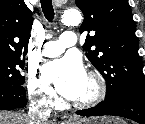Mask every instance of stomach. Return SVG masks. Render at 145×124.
<instances>
[{
    "instance_id": "stomach-1",
    "label": "stomach",
    "mask_w": 145,
    "mask_h": 124,
    "mask_svg": "<svg viewBox=\"0 0 145 124\" xmlns=\"http://www.w3.org/2000/svg\"><path fill=\"white\" fill-rule=\"evenodd\" d=\"M70 124H120V121L111 117H102L99 119H79L71 121Z\"/></svg>"
}]
</instances>
